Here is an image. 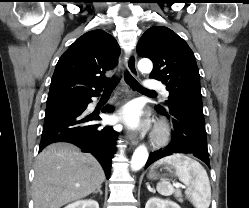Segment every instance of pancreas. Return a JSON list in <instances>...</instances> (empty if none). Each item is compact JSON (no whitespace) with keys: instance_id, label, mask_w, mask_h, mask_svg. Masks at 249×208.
<instances>
[{"instance_id":"obj_1","label":"pancreas","mask_w":249,"mask_h":208,"mask_svg":"<svg viewBox=\"0 0 249 208\" xmlns=\"http://www.w3.org/2000/svg\"><path fill=\"white\" fill-rule=\"evenodd\" d=\"M175 197L178 199L179 202H183L182 193L180 190L175 191Z\"/></svg>"}]
</instances>
